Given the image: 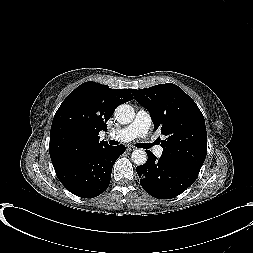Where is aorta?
Here are the masks:
<instances>
[{
    "label": "aorta",
    "mask_w": 253,
    "mask_h": 253,
    "mask_svg": "<svg viewBox=\"0 0 253 253\" xmlns=\"http://www.w3.org/2000/svg\"><path fill=\"white\" fill-rule=\"evenodd\" d=\"M134 117V108L129 104H121L115 110V118L120 124L131 123ZM131 158L136 165H143L147 161V154L144 150L138 149L132 152Z\"/></svg>",
    "instance_id": "aorta-1"
}]
</instances>
